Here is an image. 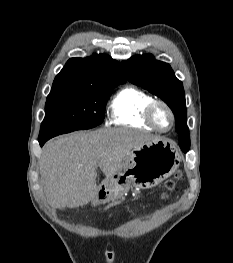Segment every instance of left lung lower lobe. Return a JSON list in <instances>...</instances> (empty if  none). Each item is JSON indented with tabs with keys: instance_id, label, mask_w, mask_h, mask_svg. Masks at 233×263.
Wrapping results in <instances>:
<instances>
[{
	"instance_id": "left-lung-lower-lobe-1",
	"label": "left lung lower lobe",
	"mask_w": 233,
	"mask_h": 263,
	"mask_svg": "<svg viewBox=\"0 0 233 263\" xmlns=\"http://www.w3.org/2000/svg\"><path fill=\"white\" fill-rule=\"evenodd\" d=\"M179 145L184 153H187L190 148V143L185 139H179Z\"/></svg>"
}]
</instances>
